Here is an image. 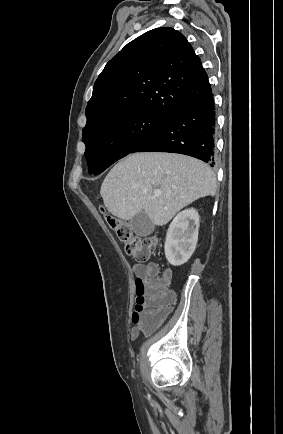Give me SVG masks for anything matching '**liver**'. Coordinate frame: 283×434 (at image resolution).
<instances>
[{
  "instance_id": "6515ba94",
  "label": "liver",
  "mask_w": 283,
  "mask_h": 434,
  "mask_svg": "<svg viewBox=\"0 0 283 434\" xmlns=\"http://www.w3.org/2000/svg\"><path fill=\"white\" fill-rule=\"evenodd\" d=\"M155 190L161 191L160 197H154ZM100 193L112 215L131 220L145 212L154 225L163 226L195 200L214 196L216 176L205 163L186 155L134 153L110 170Z\"/></svg>"
}]
</instances>
